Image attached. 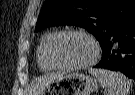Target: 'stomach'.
Here are the masks:
<instances>
[{
  "mask_svg": "<svg viewBox=\"0 0 135 95\" xmlns=\"http://www.w3.org/2000/svg\"><path fill=\"white\" fill-rule=\"evenodd\" d=\"M97 88V78L73 72L53 80L37 95H91Z\"/></svg>",
  "mask_w": 135,
  "mask_h": 95,
  "instance_id": "stomach-1",
  "label": "stomach"
}]
</instances>
